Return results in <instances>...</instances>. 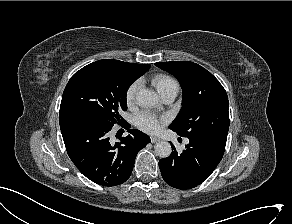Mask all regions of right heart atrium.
<instances>
[{
    "instance_id": "obj_1",
    "label": "right heart atrium",
    "mask_w": 292,
    "mask_h": 224,
    "mask_svg": "<svg viewBox=\"0 0 292 224\" xmlns=\"http://www.w3.org/2000/svg\"><path fill=\"white\" fill-rule=\"evenodd\" d=\"M140 88V82H133L127 89L125 94L126 103L128 106L132 105L136 99L137 93Z\"/></svg>"
}]
</instances>
